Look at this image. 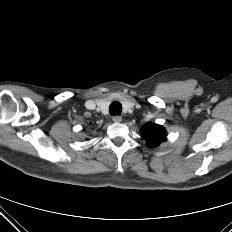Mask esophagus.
I'll return each mask as SVG.
<instances>
[{
  "label": "esophagus",
  "instance_id": "obj_1",
  "mask_svg": "<svg viewBox=\"0 0 232 232\" xmlns=\"http://www.w3.org/2000/svg\"><path fill=\"white\" fill-rule=\"evenodd\" d=\"M112 120L115 122V123H119L122 121V117L121 116H113Z\"/></svg>",
  "mask_w": 232,
  "mask_h": 232
}]
</instances>
